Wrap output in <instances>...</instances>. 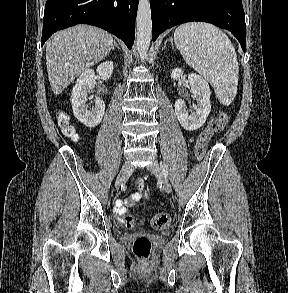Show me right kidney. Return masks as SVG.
<instances>
[{
  "label": "right kidney",
  "instance_id": "ca27d5eb",
  "mask_svg": "<svg viewBox=\"0 0 288 293\" xmlns=\"http://www.w3.org/2000/svg\"><path fill=\"white\" fill-rule=\"evenodd\" d=\"M114 70L112 61L101 63L97 67V73L103 80H108ZM95 72L87 69L81 73L72 90L71 103L74 116L87 127L97 126L103 118L105 112L104 101L97 97L95 106L89 107L87 104L88 94L94 87Z\"/></svg>",
  "mask_w": 288,
  "mask_h": 293
}]
</instances>
